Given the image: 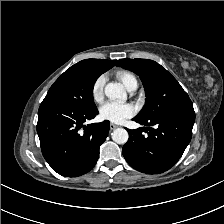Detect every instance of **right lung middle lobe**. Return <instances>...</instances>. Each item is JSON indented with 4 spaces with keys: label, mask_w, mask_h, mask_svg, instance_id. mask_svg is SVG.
Instances as JSON below:
<instances>
[{
    "label": "right lung middle lobe",
    "mask_w": 224,
    "mask_h": 224,
    "mask_svg": "<svg viewBox=\"0 0 224 224\" xmlns=\"http://www.w3.org/2000/svg\"><path fill=\"white\" fill-rule=\"evenodd\" d=\"M103 72L85 61H80L66 70L51 86L44 100H52L77 110H96L93 87Z\"/></svg>",
    "instance_id": "right-lung-middle-lobe-1"
}]
</instances>
